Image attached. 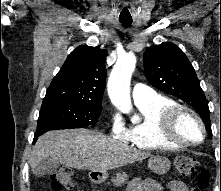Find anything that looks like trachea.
<instances>
[{
  "label": "trachea",
  "mask_w": 221,
  "mask_h": 191,
  "mask_svg": "<svg viewBox=\"0 0 221 191\" xmlns=\"http://www.w3.org/2000/svg\"><path fill=\"white\" fill-rule=\"evenodd\" d=\"M120 23L123 26H130L132 24V19H119Z\"/></svg>",
  "instance_id": "3493384b"
}]
</instances>
